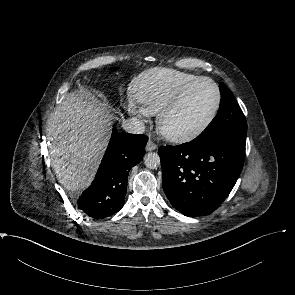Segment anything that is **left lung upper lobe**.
<instances>
[{
    "label": "left lung upper lobe",
    "mask_w": 295,
    "mask_h": 295,
    "mask_svg": "<svg viewBox=\"0 0 295 295\" xmlns=\"http://www.w3.org/2000/svg\"><path fill=\"white\" fill-rule=\"evenodd\" d=\"M220 92V107L216 117L194 140L202 141L213 137H225L246 144L247 123L245 116L234 95L224 83L220 84Z\"/></svg>",
    "instance_id": "left-lung-upper-lobe-1"
}]
</instances>
